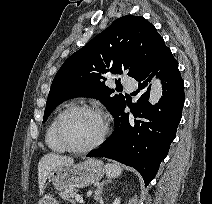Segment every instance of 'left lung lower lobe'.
Here are the masks:
<instances>
[{
    "mask_svg": "<svg viewBox=\"0 0 212 204\" xmlns=\"http://www.w3.org/2000/svg\"><path fill=\"white\" fill-rule=\"evenodd\" d=\"M154 75L162 80L163 96L152 106L148 98L150 80ZM134 79L139 82L134 92L139 96L138 102L131 107L125 100L113 113L115 129L112 135L87 156L106 157L133 167L142 175L147 186L176 136L185 100L184 82L169 48ZM127 105L131 107L133 116L124 113Z\"/></svg>",
    "mask_w": 212,
    "mask_h": 204,
    "instance_id": "left-lung-lower-lobe-1",
    "label": "left lung lower lobe"
}]
</instances>
